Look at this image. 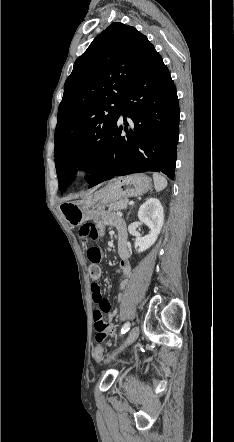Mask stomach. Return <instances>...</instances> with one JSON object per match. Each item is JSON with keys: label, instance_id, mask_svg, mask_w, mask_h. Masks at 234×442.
<instances>
[{"label": "stomach", "instance_id": "obj_1", "mask_svg": "<svg viewBox=\"0 0 234 442\" xmlns=\"http://www.w3.org/2000/svg\"><path fill=\"white\" fill-rule=\"evenodd\" d=\"M151 186V179L144 174L120 177L80 200L62 203L60 208L64 218L71 225H80L92 220L108 203L142 195L150 190Z\"/></svg>", "mask_w": 234, "mask_h": 442}]
</instances>
